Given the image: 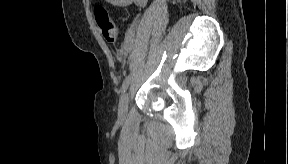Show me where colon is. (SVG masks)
Returning a JSON list of instances; mask_svg holds the SVG:
<instances>
[{
	"mask_svg": "<svg viewBox=\"0 0 288 164\" xmlns=\"http://www.w3.org/2000/svg\"><path fill=\"white\" fill-rule=\"evenodd\" d=\"M95 20L100 27L106 40L114 42L118 39L119 30L117 25L110 19L108 12L104 8H97Z\"/></svg>",
	"mask_w": 288,
	"mask_h": 164,
	"instance_id": "1",
	"label": "colon"
}]
</instances>
